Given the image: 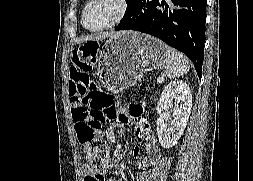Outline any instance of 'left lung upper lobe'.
<instances>
[{"mask_svg":"<svg viewBox=\"0 0 253 181\" xmlns=\"http://www.w3.org/2000/svg\"><path fill=\"white\" fill-rule=\"evenodd\" d=\"M136 1H137V0H131V2L128 3L127 9H126V13H125V15H124L123 18H125V17L132 11V9H133V7H134Z\"/></svg>","mask_w":253,"mask_h":181,"instance_id":"1","label":"left lung upper lobe"}]
</instances>
